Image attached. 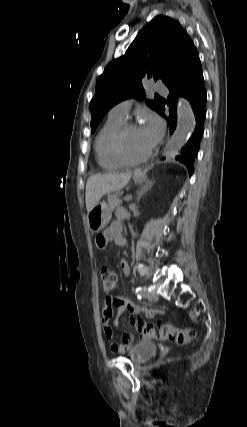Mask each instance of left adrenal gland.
Here are the masks:
<instances>
[{
	"label": "left adrenal gland",
	"mask_w": 247,
	"mask_h": 427,
	"mask_svg": "<svg viewBox=\"0 0 247 427\" xmlns=\"http://www.w3.org/2000/svg\"><path fill=\"white\" fill-rule=\"evenodd\" d=\"M153 186L152 182H149L146 186H144L143 188H141L138 192H137V198L136 201H139L142 197L143 194H146L151 187Z\"/></svg>",
	"instance_id": "1"
}]
</instances>
